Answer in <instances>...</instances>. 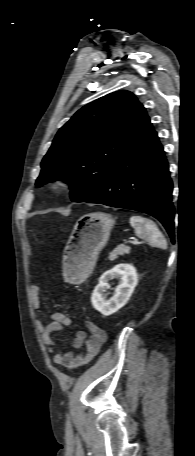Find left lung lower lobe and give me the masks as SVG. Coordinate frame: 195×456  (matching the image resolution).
I'll use <instances>...</instances> for the list:
<instances>
[{"mask_svg":"<svg viewBox=\"0 0 195 456\" xmlns=\"http://www.w3.org/2000/svg\"><path fill=\"white\" fill-rule=\"evenodd\" d=\"M172 188L165 152L147 116L103 185L84 202L147 213L163 224L173 241Z\"/></svg>","mask_w":195,"mask_h":456,"instance_id":"1","label":"left lung lower lobe"}]
</instances>
